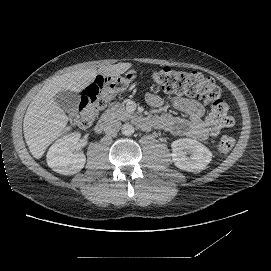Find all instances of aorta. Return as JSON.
Masks as SVG:
<instances>
[{"mask_svg":"<svg viewBox=\"0 0 271 271\" xmlns=\"http://www.w3.org/2000/svg\"><path fill=\"white\" fill-rule=\"evenodd\" d=\"M134 127L132 124L125 123L122 125L121 132L125 136H131L134 133Z\"/></svg>","mask_w":271,"mask_h":271,"instance_id":"obj_1","label":"aorta"}]
</instances>
